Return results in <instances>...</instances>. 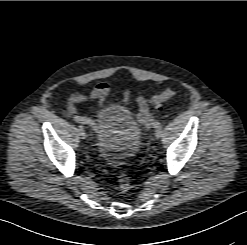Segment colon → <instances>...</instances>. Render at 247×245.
Wrapping results in <instances>:
<instances>
[{
  "label": "colon",
  "mask_w": 247,
  "mask_h": 245,
  "mask_svg": "<svg viewBox=\"0 0 247 245\" xmlns=\"http://www.w3.org/2000/svg\"><path fill=\"white\" fill-rule=\"evenodd\" d=\"M176 91L173 89H166L160 94L154 95L152 97V103L156 108H160L162 104L175 96ZM118 185L121 191L126 192L131 188V179L127 173L122 172L118 176Z\"/></svg>",
  "instance_id": "obj_1"
}]
</instances>
